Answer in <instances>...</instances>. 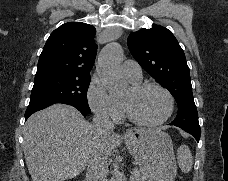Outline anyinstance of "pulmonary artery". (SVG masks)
I'll list each match as a JSON object with an SVG mask.
<instances>
[{
  "label": "pulmonary artery",
  "mask_w": 228,
  "mask_h": 181,
  "mask_svg": "<svg viewBox=\"0 0 228 181\" xmlns=\"http://www.w3.org/2000/svg\"><path fill=\"white\" fill-rule=\"evenodd\" d=\"M139 62H128L126 69L124 71V74L132 79V80H137L141 77L140 73H137V70L139 69Z\"/></svg>",
  "instance_id": "obj_1"
}]
</instances>
